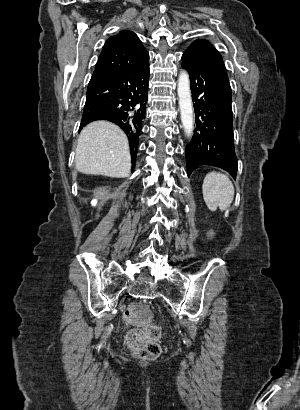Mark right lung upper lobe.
I'll list each match as a JSON object with an SVG mask.
<instances>
[{
    "label": "right lung upper lobe",
    "mask_w": 300,
    "mask_h": 410,
    "mask_svg": "<svg viewBox=\"0 0 300 410\" xmlns=\"http://www.w3.org/2000/svg\"><path fill=\"white\" fill-rule=\"evenodd\" d=\"M149 53L137 35L131 31H120L104 44L91 80L111 74L127 67H139L148 63ZM137 155V148L132 158Z\"/></svg>",
    "instance_id": "obj_1"
}]
</instances>
